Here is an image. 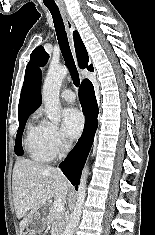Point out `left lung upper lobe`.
I'll return each mask as SVG.
<instances>
[{
  "label": "left lung upper lobe",
  "mask_w": 155,
  "mask_h": 235,
  "mask_svg": "<svg viewBox=\"0 0 155 235\" xmlns=\"http://www.w3.org/2000/svg\"><path fill=\"white\" fill-rule=\"evenodd\" d=\"M49 55L44 50L43 46L37 47L30 55V61L26 67L25 76L29 74L30 70L36 65L44 66L48 61Z\"/></svg>",
  "instance_id": "1"
}]
</instances>
